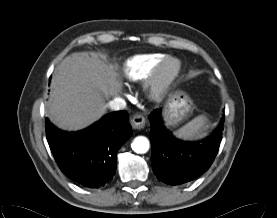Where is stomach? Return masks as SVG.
Here are the masks:
<instances>
[{"mask_svg":"<svg viewBox=\"0 0 277 218\" xmlns=\"http://www.w3.org/2000/svg\"><path fill=\"white\" fill-rule=\"evenodd\" d=\"M193 107L191 99L182 91L169 96L163 108V118L167 126H175L188 117Z\"/></svg>","mask_w":277,"mask_h":218,"instance_id":"1","label":"stomach"}]
</instances>
